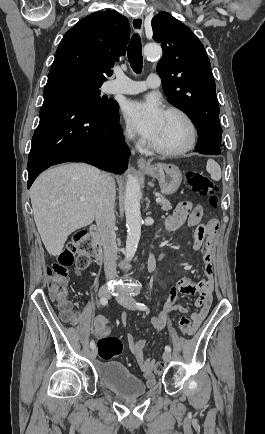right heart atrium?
Returning <instances> with one entry per match:
<instances>
[{
	"label": "right heart atrium",
	"mask_w": 265,
	"mask_h": 434,
	"mask_svg": "<svg viewBox=\"0 0 265 434\" xmlns=\"http://www.w3.org/2000/svg\"><path fill=\"white\" fill-rule=\"evenodd\" d=\"M122 138L118 142L120 148H130L132 145L131 141L142 143V138H139L138 132H124Z\"/></svg>",
	"instance_id": "d8ad5b80"
}]
</instances>
